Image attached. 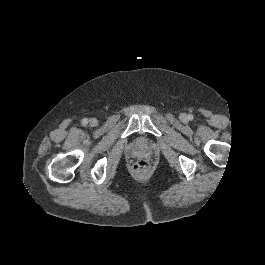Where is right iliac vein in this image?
Segmentation results:
<instances>
[{"instance_id": "63e3f726", "label": "right iliac vein", "mask_w": 265, "mask_h": 265, "mask_svg": "<svg viewBox=\"0 0 265 265\" xmlns=\"http://www.w3.org/2000/svg\"><path fill=\"white\" fill-rule=\"evenodd\" d=\"M98 125V121H97V119H95V118H91L90 120H89V126H91V127H96Z\"/></svg>"}]
</instances>
